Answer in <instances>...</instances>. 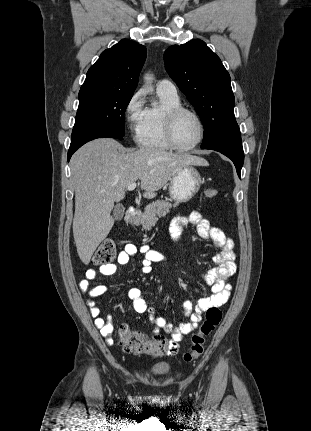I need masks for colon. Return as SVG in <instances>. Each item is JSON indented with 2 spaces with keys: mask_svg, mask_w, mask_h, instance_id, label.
<instances>
[{
  "mask_svg": "<svg viewBox=\"0 0 311 431\" xmlns=\"http://www.w3.org/2000/svg\"><path fill=\"white\" fill-rule=\"evenodd\" d=\"M218 191L206 188L204 197L213 199ZM116 258V246L112 239H105L99 245L93 261L97 265L110 264ZM222 320V311L218 307H211L206 311L205 319L199 330L191 337L190 350L184 355L186 362H194L204 352L206 337L214 331ZM120 342L123 349L132 354L161 357L171 355L176 351V344L164 337H148L147 335L122 324L119 329Z\"/></svg>",
  "mask_w": 311,
  "mask_h": 431,
  "instance_id": "1",
  "label": "colon"
}]
</instances>
